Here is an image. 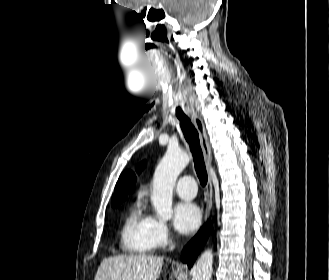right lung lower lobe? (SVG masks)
Listing matches in <instances>:
<instances>
[{
	"label": "right lung lower lobe",
	"mask_w": 329,
	"mask_h": 280,
	"mask_svg": "<svg viewBox=\"0 0 329 280\" xmlns=\"http://www.w3.org/2000/svg\"><path fill=\"white\" fill-rule=\"evenodd\" d=\"M210 221L197 233V235L185 246L182 252V261L191 268L197 255L200 253L210 234Z\"/></svg>",
	"instance_id": "1"
}]
</instances>
